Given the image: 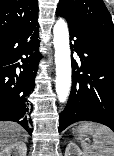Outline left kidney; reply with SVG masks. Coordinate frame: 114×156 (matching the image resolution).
<instances>
[{"label":"left kidney","instance_id":"obj_1","mask_svg":"<svg viewBox=\"0 0 114 156\" xmlns=\"http://www.w3.org/2000/svg\"><path fill=\"white\" fill-rule=\"evenodd\" d=\"M65 156H85V154L75 143L70 142L66 147Z\"/></svg>","mask_w":114,"mask_h":156}]
</instances>
